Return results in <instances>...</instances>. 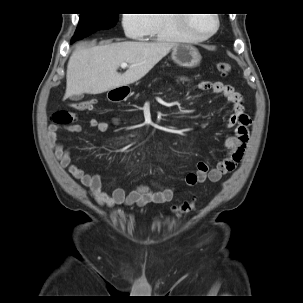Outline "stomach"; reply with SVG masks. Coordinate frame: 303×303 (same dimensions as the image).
Masks as SVG:
<instances>
[{
  "label": "stomach",
  "mask_w": 303,
  "mask_h": 303,
  "mask_svg": "<svg viewBox=\"0 0 303 303\" xmlns=\"http://www.w3.org/2000/svg\"><path fill=\"white\" fill-rule=\"evenodd\" d=\"M172 60L182 67H195L201 61L199 51L188 44H177L173 47L171 53Z\"/></svg>",
  "instance_id": "1"
}]
</instances>
